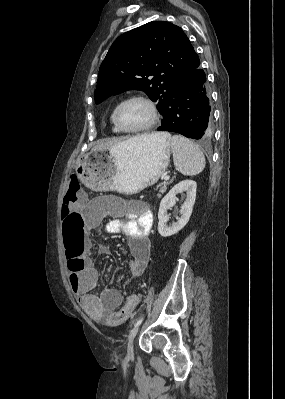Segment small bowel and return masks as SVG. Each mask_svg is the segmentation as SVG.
Segmentation results:
<instances>
[{
	"mask_svg": "<svg viewBox=\"0 0 285 399\" xmlns=\"http://www.w3.org/2000/svg\"><path fill=\"white\" fill-rule=\"evenodd\" d=\"M96 208L101 216L109 218L104 234H121L127 239L131 255L127 280L141 277L150 258L149 234L153 225L151 215L143 209V206H138L135 211L126 213L123 203L112 196L101 197ZM83 211L84 205L76 207L77 214H81ZM92 228V224L79 223L74 229L75 238L84 246L88 257L83 270L70 277L71 290L81 307L89 312L95 320L104 322L109 327H118L127 319L117 320L114 318L118 313L117 309L123 302L121 292L107 288L100 295L92 293V290L101 281V276L94 268L91 256L92 241L89 232ZM66 230L67 228H65ZM125 302L130 303L133 310L139 302V296L131 294Z\"/></svg>",
	"mask_w": 285,
	"mask_h": 399,
	"instance_id": "1",
	"label": "small bowel"
}]
</instances>
